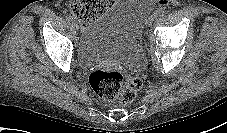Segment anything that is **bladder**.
Masks as SVG:
<instances>
[{
  "label": "bladder",
  "instance_id": "1",
  "mask_svg": "<svg viewBox=\"0 0 227 133\" xmlns=\"http://www.w3.org/2000/svg\"><path fill=\"white\" fill-rule=\"evenodd\" d=\"M152 8L153 0H116L83 30L77 45L80 65L115 63L140 70L143 29Z\"/></svg>",
  "mask_w": 227,
  "mask_h": 133
}]
</instances>
